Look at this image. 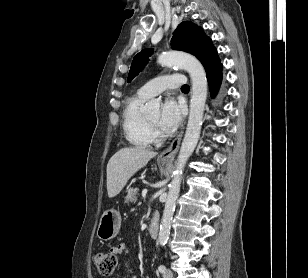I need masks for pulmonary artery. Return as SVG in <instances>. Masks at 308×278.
Listing matches in <instances>:
<instances>
[{"label": "pulmonary artery", "mask_w": 308, "mask_h": 278, "mask_svg": "<svg viewBox=\"0 0 308 278\" xmlns=\"http://www.w3.org/2000/svg\"><path fill=\"white\" fill-rule=\"evenodd\" d=\"M186 84V78L181 74L160 76L144 84L138 94L145 98L156 96L166 89L178 88Z\"/></svg>", "instance_id": "e3ab8cb5"}]
</instances>
